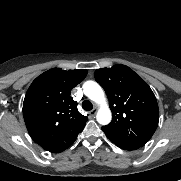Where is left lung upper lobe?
I'll list each match as a JSON object with an SVG mask.
<instances>
[{
    "label": "left lung upper lobe",
    "mask_w": 181,
    "mask_h": 181,
    "mask_svg": "<svg viewBox=\"0 0 181 181\" xmlns=\"http://www.w3.org/2000/svg\"><path fill=\"white\" fill-rule=\"evenodd\" d=\"M95 80L104 88L113 114L102 131L116 145L144 146L159 122L157 100L149 85L122 64L97 69Z\"/></svg>",
    "instance_id": "1"
}]
</instances>
